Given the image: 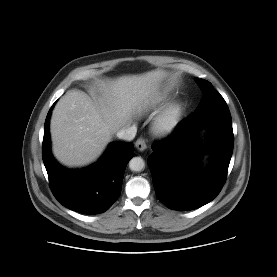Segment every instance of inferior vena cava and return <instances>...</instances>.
I'll return each mask as SVG.
<instances>
[{"instance_id":"inferior-vena-cava-1","label":"inferior vena cava","mask_w":277,"mask_h":277,"mask_svg":"<svg viewBox=\"0 0 277 277\" xmlns=\"http://www.w3.org/2000/svg\"><path fill=\"white\" fill-rule=\"evenodd\" d=\"M136 132H137V127L135 125L131 127H124L117 132V137L119 139L131 141L134 139Z\"/></svg>"}]
</instances>
